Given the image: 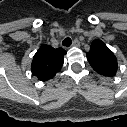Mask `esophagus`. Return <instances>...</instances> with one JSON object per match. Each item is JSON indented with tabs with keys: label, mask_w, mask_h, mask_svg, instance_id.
Wrapping results in <instances>:
<instances>
[{
	"label": "esophagus",
	"mask_w": 127,
	"mask_h": 127,
	"mask_svg": "<svg viewBox=\"0 0 127 127\" xmlns=\"http://www.w3.org/2000/svg\"><path fill=\"white\" fill-rule=\"evenodd\" d=\"M72 46H76V47L80 46L79 40L78 39H74L73 42H72ZM65 48H66V46H65Z\"/></svg>",
	"instance_id": "obj_1"
}]
</instances>
